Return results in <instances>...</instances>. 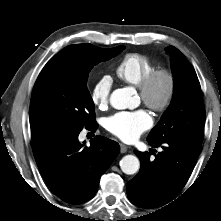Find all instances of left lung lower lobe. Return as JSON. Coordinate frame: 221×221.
<instances>
[{"label": "left lung lower lobe", "instance_id": "left-lung-lower-lobe-1", "mask_svg": "<svg viewBox=\"0 0 221 221\" xmlns=\"http://www.w3.org/2000/svg\"><path fill=\"white\" fill-rule=\"evenodd\" d=\"M153 147L163 151L150 160L148 152L135 151L141 162L139 173L127 183L128 198L141 208H158L173 200L190 177L201 144L186 140H167Z\"/></svg>", "mask_w": 221, "mask_h": 221}]
</instances>
